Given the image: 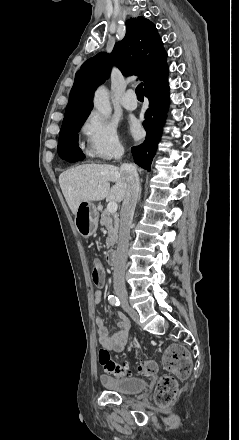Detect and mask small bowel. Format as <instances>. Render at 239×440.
<instances>
[{"instance_id":"obj_1","label":"small bowel","mask_w":239,"mask_h":440,"mask_svg":"<svg viewBox=\"0 0 239 440\" xmlns=\"http://www.w3.org/2000/svg\"><path fill=\"white\" fill-rule=\"evenodd\" d=\"M103 294L101 290H96L94 293V301L96 304H99L102 301ZM98 340L102 347L107 351H122L126 346L128 335H129V321L127 317L118 313L117 315V326L119 331L114 334H110L105 326V321L102 317L96 318L95 321Z\"/></svg>"}]
</instances>
